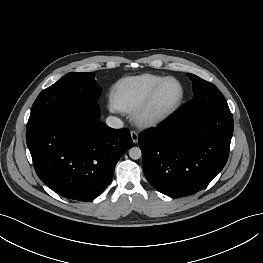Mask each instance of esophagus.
Instances as JSON below:
<instances>
[{"label":"esophagus","mask_w":263,"mask_h":263,"mask_svg":"<svg viewBox=\"0 0 263 263\" xmlns=\"http://www.w3.org/2000/svg\"><path fill=\"white\" fill-rule=\"evenodd\" d=\"M131 138L133 143H137L138 142V133L136 131H131Z\"/></svg>","instance_id":"esophagus-1"}]
</instances>
